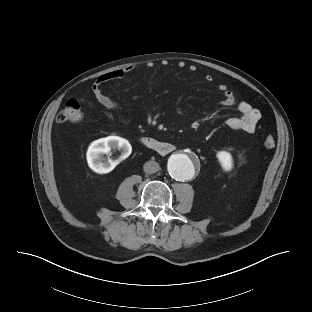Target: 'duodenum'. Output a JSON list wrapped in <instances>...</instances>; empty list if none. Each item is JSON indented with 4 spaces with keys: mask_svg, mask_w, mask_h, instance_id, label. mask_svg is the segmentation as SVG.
Segmentation results:
<instances>
[{
    "mask_svg": "<svg viewBox=\"0 0 312 312\" xmlns=\"http://www.w3.org/2000/svg\"><path fill=\"white\" fill-rule=\"evenodd\" d=\"M139 141L146 148L162 155L169 154L176 148L172 143L162 142L148 136L141 137Z\"/></svg>",
    "mask_w": 312,
    "mask_h": 312,
    "instance_id": "duodenum-1",
    "label": "duodenum"
}]
</instances>
